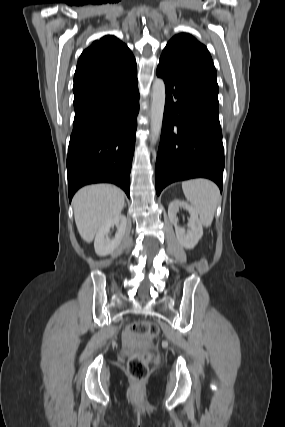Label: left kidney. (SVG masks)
<instances>
[{
  "instance_id": "left-kidney-1",
  "label": "left kidney",
  "mask_w": 285,
  "mask_h": 427,
  "mask_svg": "<svg viewBox=\"0 0 285 427\" xmlns=\"http://www.w3.org/2000/svg\"><path fill=\"white\" fill-rule=\"evenodd\" d=\"M180 208L187 210L190 214L188 222L189 230L178 226L177 212ZM168 217L170 222L175 226L176 237L181 246L186 249H193L203 236V227L196 210L181 200H174L169 204Z\"/></svg>"
}]
</instances>
